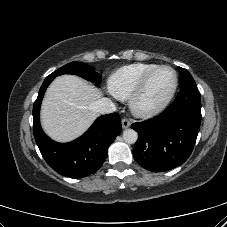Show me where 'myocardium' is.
Segmentation results:
<instances>
[{"label": "myocardium", "instance_id": "obj_1", "mask_svg": "<svg viewBox=\"0 0 227 227\" xmlns=\"http://www.w3.org/2000/svg\"><path fill=\"white\" fill-rule=\"evenodd\" d=\"M161 69H170L175 75V82L171 91L167 96L159 102L157 105L152 107H144L141 105V98L145 93L151 79L153 76ZM179 85V75L175 68L169 65H158L151 71H149L139 82L133 93L129 98V106L134 115L140 118H152L163 112L168 105L171 103L172 99L175 96Z\"/></svg>", "mask_w": 227, "mask_h": 227}]
</instances>
